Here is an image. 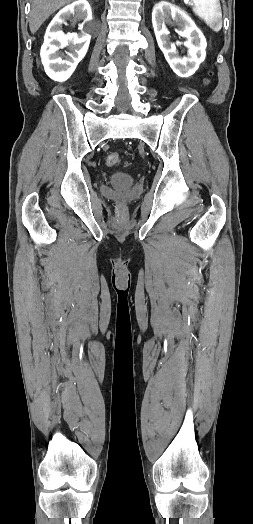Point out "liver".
<instances>
[{"mask_svg": "<svg viewBox=\"0 0 253 524\" xmlns=\"http://www.w3.org/2000/svg\"><path fill=\"white\" fill-rule=\"evenodd\" d=\"M71 2L73 0H31L30 31L35 33L51 14Z\"/></svg>", "mask_w": 253, "mask_h": 524, "instance_id": "liver-1", "label": "liver"}]
</instances>
